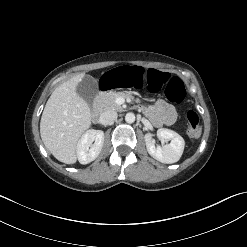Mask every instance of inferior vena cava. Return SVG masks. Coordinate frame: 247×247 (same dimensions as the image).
<instances>
[{
    "label": "inferior vena cava",
    "instance_id": "1",
    "mask_svg": "<svg viewBox=\"0 0 247 247\" xmlns=\"http://www.w3.org/2000/svg\"><path fill=\"white\" fill-rule=\"evenodd\" d=\"M117 119V112L113 110H106L100 115V122L103 125L112 124Z\"/></svg>",
    "mask_w": 247,
    "mask_h": 247
}]
</instances>
